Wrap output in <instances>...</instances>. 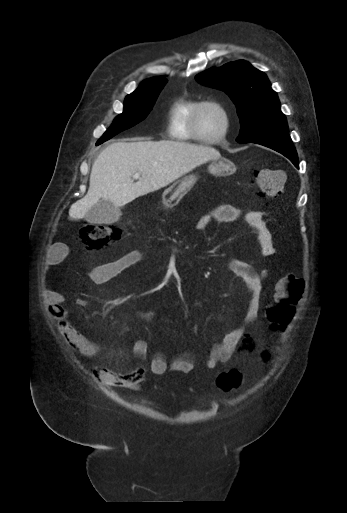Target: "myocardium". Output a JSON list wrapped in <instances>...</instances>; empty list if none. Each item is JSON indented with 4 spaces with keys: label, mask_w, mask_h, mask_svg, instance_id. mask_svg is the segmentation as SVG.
I'll return each instance as SVG.
<instances>
[{
    "label": "myocardium",
    "mask_w": 347,
    "mask_h": 513,
    "mask_svg": "<svg viewBox=\"0 0 347 513\" xmlns=\"http://www.w3.org/2000/svg\"><path fill=\"white\" fill-rule=\"evenodd\" d=\"M208 106L216 107L222 113L223 118H224L223 130L218 136H216L214 138L203 137L200 134L199 129H198V115L202 109H204ZM230 126H231V114H230L229 109L223 103L214 101V100L201 101L195 108L192 118H191V123H190L191 131L194 134V136H196L203 143H206V144H216V143L222 141L223 139H225L230 130Z\"/></svg>",
    "instance_id": "myocardium-1"
}]
</instances>
